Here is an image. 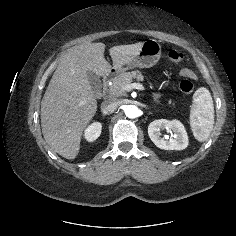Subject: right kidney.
Instances as JSON below:
<instances>
[{
  "label": "right kidney",
  "instance_id": "right-kidney-1",
  "mask_svg": "<svg viewBox=\"0 0 236 236\" xmlns=\"http://www.w3.org/2000/svg\"><path fill=\"white\" fill-rule=\"evenodd\" d=\"M102 125L100 122H94L85 130V139L88 142L95 141L101 134Z\"/></svg>",
  "mask_w": 236,
  "mask_h": 236
}]
</instances>
